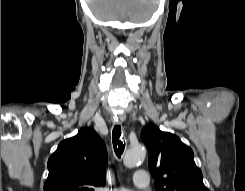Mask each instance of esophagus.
<instances>
[{"instance_id": "34e87169", "label": "esophagus", "mask_w": 245, "mask_h": 191, "mask_svg": "<svg viewBox=\"0 0 245 191\" xmlns=\"http://www.w3.org/2000/svg\"><path fill=\"white\" fill-rule=\"evenodd\" d=\"M126 119V116L124 114H120L118 117H116L115 122L120 124L123 123Z\"/></svg>"}]
</instances>
